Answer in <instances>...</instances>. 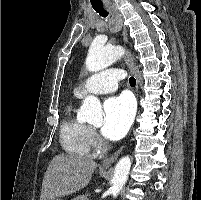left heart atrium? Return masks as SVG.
Masks as SVG:
<instances>
[{"instance_id":"obj_1","label":"left heart atrium","mask_w":201,"mask_h":200,"mask_svg":"<svg viewBox=\"0 0 201 200\" xmlns=\"http://www.w3.org/2000/svg\"><path fill=\"white\" fill-rule=\"evenodd\" d=\"M133 115V104L127 96L108 99L104 104L102 134L110 140L123 138L132 124Z\"/></svg>"}]
</instances>
